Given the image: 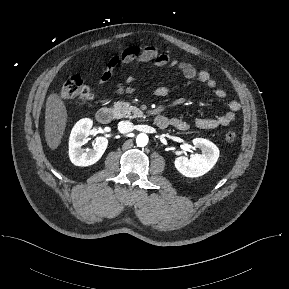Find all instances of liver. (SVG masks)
Instances as JSON below:
<instances>
[{
    "label": "liver",
    "instance_id": "liver-1",
    "mask_svg": "<svg viewBox=\"0 0 289 289\" xmlns=\"http://www.w3.org/2000/svg\"><path fill=\"white\" fill-rule=\"evenodd\" d=\"M68 114L63 100L52 92L46 101L44 134L48 147L55 151L63 138Z\"/></svg>",
    "mask_w": 289,
    "mask_h": 289
}]
</instances>
